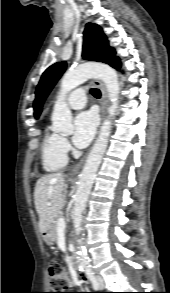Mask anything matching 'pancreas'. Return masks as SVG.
I'll list each match as a JSON object with an SVG mask.
<instances>
[{"label": "pancreas", "mask_w": 170, "mask_h": 293, "mask_svg": "<svg viewBox=\"0 0 170 293\" xmlns=\"http://www.w3.org/2000/svg\"><path fill=\"white\" fill-rule=\"evenodd\" d=\"M62 217H63V215H62V214H59V215L55 218V220L53 221V223L51 224L50 230H51V232H52L54 238H56V236H57V222H58V220H59L60 218H62Z\"/></svg>", "instance_id": "pancreas-1"}]
</instances>
